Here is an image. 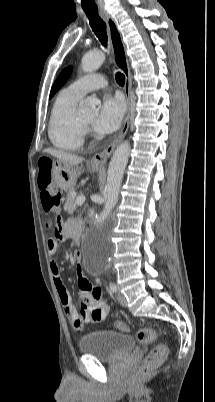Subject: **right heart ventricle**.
Wrapping results in <instances>:
<instances>
[{
    "mask_svg": "<svg viewBox=\"0 0 215 402\" xmlns=\"http://www.w3.org/2000/svg\"><path fill=\"white\" fill-rule=\"evenodd\" d=\"M81 96L70 89H63L58 93L53 103L48 136L51 143L63 150H77L84 141V129L79 123L77 104Z\"/></svg>",
    "mask_w": 215,
    "mask_h": 402,
    "instance_id": "obj_1",
    "label": "right heart ventricle"
}]
</instances>
